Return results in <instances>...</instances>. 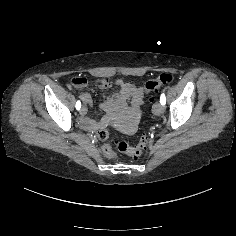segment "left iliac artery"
Here are the masks:
<instances>
[{
  "label": "left iliac artery",
  "instance_id": "left-iliac-artery-1",
  "mask_svg": "<svg viewBox=\"0 0 236 236\" xmlns=\"http://www.w3.org/2000/svg\"><path fill=\"white\" fill-rule=\"evenodd\" d=\"M160 103H161L162 105H165V103H166V98H165V94H164V93L161 94Z\"/></svg>",
  "mask_w": 236,
  "mask_h": 236
}]
</instances>
